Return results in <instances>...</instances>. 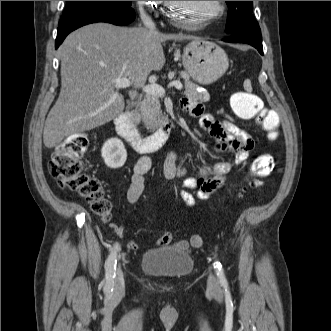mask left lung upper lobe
Segmentation results:
<instances>
[{
    "instance_id": "1",
    "label": "left lung upper lobe",
    "mask_w": 331,
    "mask_h": 331,
    "mask_svg": "<svg viewBox=\"0 0 331 331\" xmlns=\"http://www.w3.org/2000/svg\"><path fill=\"white\" fill-rule=\"evenodd\" d=\"M229 12L226 24L228 35L260 31V27L252 15L253 1H226Z\"/></svg>"
}]
</instances>
